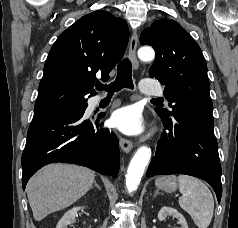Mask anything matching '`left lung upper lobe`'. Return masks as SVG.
Returning a JSON list of instances; mask_svg holds the SVG:
<instances>
[{"mask_svg": "<svg viewBox=\"0 0 238 228\" xmlns=\"http://www.w3.org/2000/svg\"><path fill=\"white\" fill-rule=\"evenodd\" d=\"M140 43L155 49L149 74L166 85L164 95L172 111L155 108L161 119L182 115L213 122L207 65L190 34L176 21L164 18L142 32Z\"/></svg>", "mask_w": 238, "mask_h": 228, "instance_id": "5c2ea615", "label": "left lung upper lobe"}]
</instances>
